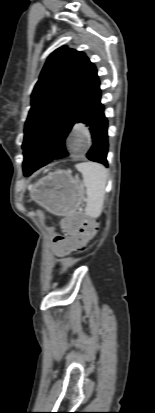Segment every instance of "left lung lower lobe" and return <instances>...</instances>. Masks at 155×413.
<instances>
[{"label": "left lung lower lobe", "mask_w": 155, "mask_h": 413, "mask_svg": "<svg viewBox=\"0 0 155 413\" xmlns=\"http://www.w3.org/2000/svg\"><path fill=\"white\" fill-rule=\"evenodd\" d=\"M78 123L85 124L91 133V138L93 145L89 150L87 157L95 162H99L108 166L107 163V151H108V141H107V119L104 115V107L101 104V90L100 86L96 89L90 99L87 101L83 107L81 113L78 117ZM68 132H63L54 141L60 149L55 153L48 161L38 165L33 170L24 173L25 176H29L32 172L41 168L42 166L48 164L50 161L56 158H61L67 155L65 150V139Z\"/></svg>", "instance_id": "1"}]
</instances>
